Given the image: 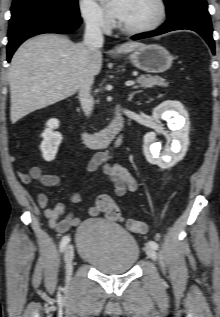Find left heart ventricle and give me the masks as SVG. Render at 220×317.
Wrapping results in <instances>:
<instances>
[{
  "label": "left heart ventricle",
  "instance_id": "1",
  "mask_svg": "<svg viewBox=\"0 0 220 317\" xmlns=\"http://www.w3.org/2000/svg\"><path fill=\"white\" fill-rule=\"evenodd\" d=\"M154 0H129L126 12L119 23L125 27L138 28L151 24L157 17Z\"/></svg>",
  "mask_w": 220,
  "mask_h": 317
}]
</instances>
